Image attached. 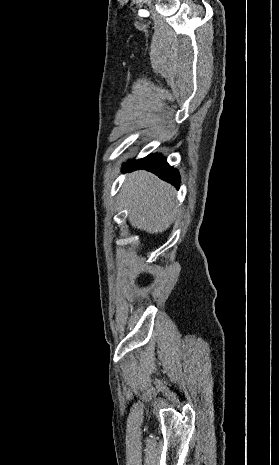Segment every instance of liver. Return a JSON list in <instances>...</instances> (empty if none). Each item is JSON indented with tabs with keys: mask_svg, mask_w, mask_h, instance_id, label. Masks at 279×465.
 Segmentation results:
<instances>
[{
	"mask_svg": "<svg viewBox=\"0 0 279 465\" xmlns=\"http://www.w3.org/2000/svg\"><path fill=\"white\" fill-rule=\"evenodd\" d=\"M175 189L150 172L127 175L121 189V203L130 224L150 234L166 231L178 213Z\"/></svg>",
	"mask_w": 279,
	"mask_h": 465,
	"instance_id": "obj_1",
	"label": "liver"
}]
</instances>
